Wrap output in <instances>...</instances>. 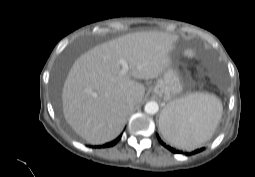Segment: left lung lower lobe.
Wrapping results in <instances>:
<instances>
[{"mask_svg":"<svg viewBox=\"0 0 255 177\" xmlns=\"http://www.w3.org/2000/svg\"><path fill=\"white\" fill-rule=\"evenodd\" d=\"M157 138L159 140V142L165 147L167 148L168 150H170L172 153H178V154H185L186 156H190V155H193V154H196V153H199L201 151H203L205 148H200V149H197L193 152H183L181 150H177L175 149L174 147H171L169 145H167L166 143H164L160 138L159 136L157 135Z\"/></svg>","mask_w":255,"mask_h":177,"instance_id":"1","label":"left lung lower lobe"}]
</instances>
